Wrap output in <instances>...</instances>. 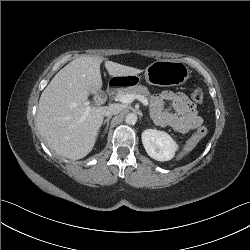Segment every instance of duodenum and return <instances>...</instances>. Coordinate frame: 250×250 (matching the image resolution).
Returning <instances> with one entry per match:
<instances>
[{
  "instance_id": "duodenum-1",
  "label": "duodenum",
  "mask_w": 250,
  "mask_h": 250,
  "mask_svg": "<svg viewBox=\"0 0 250 250\" xmlns=\"http://www.w3.org/2000/svg\"><path fill=\"white\" fill-rule=\"evenodd\" d=\"M121 85H122V83L119 80L111 82L108 89H107V93L109 95L113 94L115 92L116 88L121 86Z\"/></svg>"
}]
</instances>
